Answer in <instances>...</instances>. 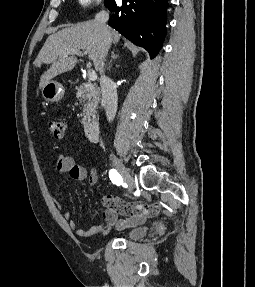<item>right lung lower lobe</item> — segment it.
<instances>
[{
  "mask_svg": "<svg viewBox=\"0 0 255 287\" xmlns=\"http://www.w3.org/2000/svg\"><path fill=\"white\" fill-rule=\"evenodd\" d=\"M168 0H123L109 8L115 12L109 25L137 46L145 48L151 58L159 52L166 35Z\"/></svg>",
  "mask_w": 255,
  "mask_h": 287,
  "instance_id": "98d812e1",
  "label": "right lung lower lobe"
}]
</instances>
